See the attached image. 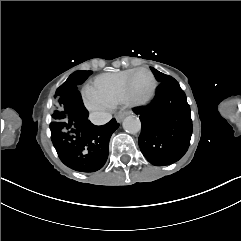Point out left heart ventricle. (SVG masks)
Wrapping results in <instances>:
<instances>
[{
    "instance_id": "b2bd125f",
    "label": "left heart ventricle",
    "mask_w": 241,
    "mask_h": 241,
    "mask_svg": "<svg viewBox=\"0 0 241 241\" xmlns=\"http://www.w3.org/2000/svg\"><path fill=\"white\" fill-rule=\"evenodd\" d=\"M127 89L132 95L131 102L134 105H139L141 102H146L151 99L153 95V88L148 76L143 75L136 81L128 84Z\"/></svg>"
}]
</instances>
